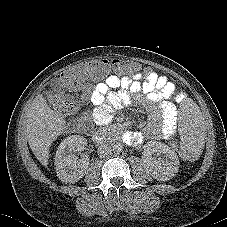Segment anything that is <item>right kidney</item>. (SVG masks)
Masks as SVG:
<instances>
[{
  "mask_svg": "<svg viewBox=\"0 0 227 227\" xmlns=\"http://www.w3.org/2000/svg\"><path fill=\"white\" fill-rule=\"evenodd\" d=\"M87 145L83 136L72 135L65 138L56 151L54 165L58 178L65 183H75L86 173L89 165L88 156L78 158L75 152L82 151Z\"/></svg>",
  "mask_w": 227,
  "mask_h": 227,
  "instance_id": "obj_1",
  "label": "right kidney"
}]
</instances>
